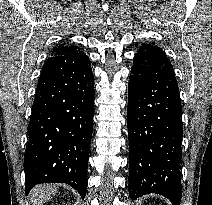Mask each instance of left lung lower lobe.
<instances>
[{"mask_svg":"<svg viewBox=\"0 0 212 205\" xmlns=\"http://www.w3.org/2000/svg\"><path fill=\"white\" fill-rule=\"evenodd\" d=\"M182 106L173 66L154 44L137 51L128 86L129 195L157 193L179 205Z\"/></svg>","mask_w":212,"mask_h":205,"instance_id":"0a47b994","label":"left lung lower lobe"}]
</instances>
